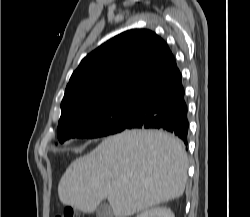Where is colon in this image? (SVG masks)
I'll use <instances>...</instances> for the list:
<instances>
[{
	"label": "colon",
	"instance_id": "obj_1",
	"mask_svg": "<svg viewBox=\"0 0 250 217\" xmlns=\"http://www.w3.org/2000/svg\"><path fill=\"white\" fill-rule=\"evenodd\" d=\"M56 217H80L74 209L68 208L64 210V212L60 215H57Z\"/></svg>",
	"mask_w": 250,
	"mask_h": 217
}]
</instances>
